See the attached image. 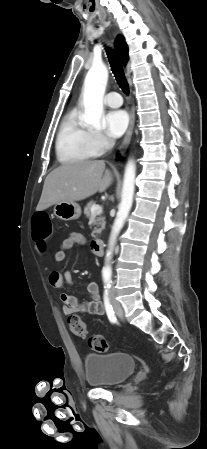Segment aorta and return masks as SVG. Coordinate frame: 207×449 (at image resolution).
<instances>
[{
    "instance_id": "1",
    "label": "aorta",
    "mask_w": 207,
    "mask_h": 449,
    "mask_svg": "<svg viewBox=\"0 0 207 449\" xmlns=\"http://www.w3.org/2000/svg\"><path fill=\"white\" fill-rule=\"evenodd\" d=\"M108 80V70L102 63L93 64L89 69L83 85V104L84 115L82 123L95 129L101 128V118L103 115V97ZM136 165L134 161H129L125 168L123 187L121 193V202L118 206V212L112 227L109 246L106 252L105 266L102 270L104 283L111 280L112 270L110 261L113 254L116 238L121 231L128 217L133 203L135 190Z\"/></svg>"
}]
</instances>
